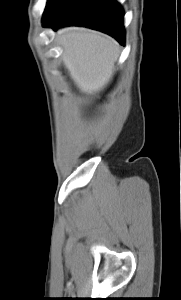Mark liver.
Segmentation results:
<instances>
[{
	"label": "liver",
	"instance_id": "obj_1",
	"mask_svg": "<svg viewBox=\"0 0 181 300\" xmlns=\"http://www.w3.org/2000/svg\"><path fill=\"white\" fill-rule=\"evenodd\" d=\"M61 60L81 93L95 95L111 81L120 49L111 37L92 30L66 27L57 35Z\"/></svg>",
	"mask_w": 181,
	"mask_h": 300
}]
</instances>
